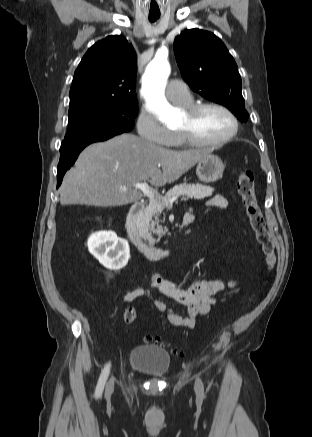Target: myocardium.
Masks as SVG:
<instances>
[{
    "label": "myocardium",
    "instance_id": "1",
    "mask_svg": "<svg viewBox=\"0 0 312 437\" xmlns=\"http://www.w3.org/2000/svg\"><path fill=\"white\" fill-rule=\"evenodd\" d=\"M207 108H216L224 112L232 122L231 131L226 136L219 139L203 140L198 138L190 128H181L179 129L178 133L180 134L184 143L200 147L218 146L231 141L237 135L239 130L238 119L232 110H230L227 106L221 103L208 101L191 104L185 107V113L187 114L189 119H193L197 114Z\"/></svg>",
    "mask_w": 312,
    "mask_h": 437
}]
</instances>
